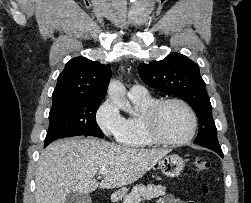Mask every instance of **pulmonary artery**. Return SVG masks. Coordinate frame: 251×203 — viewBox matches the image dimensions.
Masks as SVG:
<instances>
[{
  "mask_svg": "<svg viewBox=\"0 0 251 203\" xmlns=\"http://www.w3.org/2000/svg\"><path fill=\"white\" fill-rule=\"evenodd\" d=\"M130 98H147L149 97L148 90L142 85H133L128 92Z\"/></svg>",
  "mask_w": 251,
  "mask_h": 203,
  "instance_id": "pulmonary-artery-1",
  "label": "pulmonary artery"
}]
</instances>
